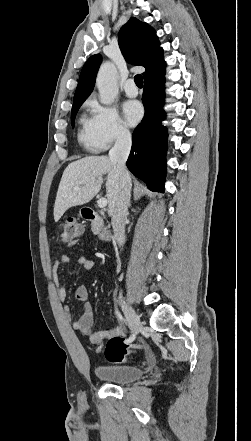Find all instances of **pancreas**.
I'll list each match as a JSON object with an SVG mask.
<instances>
[{"instance_id": "obj_1", "label": "pancreas", "mask_w": 251, "mask_h": 441, "mask_svg": "<svg viewBox=\"0 0 251 441\" xmlns=\"http://www.w3.org/2000/svg\"><path fill=\"white\" fill-rule=\"evenodd\" d=\"M91 230H92V232H93V234H98L99 233V228L97 227V225L93 222L92 224H91Z\"/></svg>"}]
</instances>
